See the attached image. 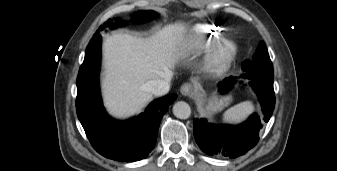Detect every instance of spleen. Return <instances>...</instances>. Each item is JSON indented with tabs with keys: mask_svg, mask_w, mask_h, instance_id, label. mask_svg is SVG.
<instances>
[{
	"mask_svg": "<svg viewBox=\"0 0 337 171\" xmlns=\"http://www.w3.org/2000/svg\"><path fill=\"white\" fill-rule=\"evenodd\" d=\"M253 111L254 106L252 102L245 101L225 111L223 120L225 122L238 123L245 120Z\"/></svg>",
	"mask_w": 337,
	"mask_h": 171,
	"instance_id": "1",
	"label": "spleen"
}]
</instances>
